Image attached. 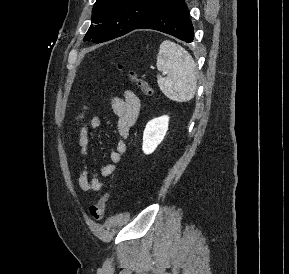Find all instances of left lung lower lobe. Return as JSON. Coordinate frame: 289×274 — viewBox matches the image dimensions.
Wrapping results in <instances>:
<instances>
[{"label":"left lung lower lobe","mask_w":289,"mask_h":274,"mask_svg":"<svg viewBox=\"0 0 289 274\" xmlns=\"http://www.w3.org/2000/svg\"><path fill=\"white\" fill-rule=\"evenodd\" d=\"M135 29H153L187 43L194 38V29L185 0H167Z\"/></svg>","instance_id":"0a47b994"}]
</instances>
